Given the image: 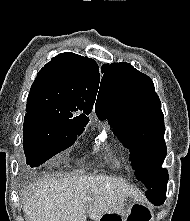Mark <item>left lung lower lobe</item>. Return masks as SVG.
<instances>
[{
    "label": "left lung lower lobe",
    "instance_id": "0a47b994",
    "mask_svg": "<svg viewBox=\"0 0 190 221\" xmlns=\"http://www.w3.org/2000/svg\"><path fill=\"white\" fill-rule=\"evenodd\" d=\"M166 187L167 183L158 186L148 199L156 206L162 205L166 199Z\"/></svg>",
    "mask_w": 190,
    "mask_h": 221
}]
</instances>
